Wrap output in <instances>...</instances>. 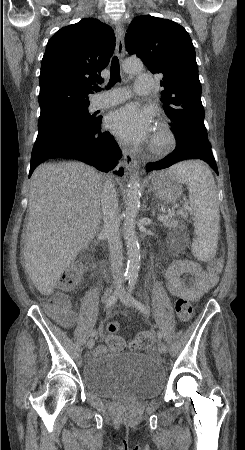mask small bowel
Wrapping results in <instances>:
<instances>
[{
    "label": "small bowel",
    "mask_w": 245,
    "mask_h": 450,
    "mask_svg": "<svg viewBox=\"0 0 245 450\" xmlns=\"http://www.w3.org/2000/svg\"><path fill=\"white\" fill-rule=\"evenodd\" d=\"M191 276L193 280L187 282L184 277ZM165 284L176 297L195 299L208 292L218 281L216 273L203 270L198 264L187 259H178L172 263L164 275ZM107 346H99L95 353H106Z\"/></svg>",
    "instance_id": "1"
}]
</instances>
